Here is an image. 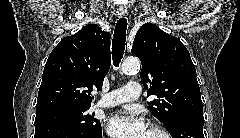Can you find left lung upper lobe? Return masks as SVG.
<instances>
[{
  "label": "left lung upper lobe",
  "mask_w": 240,
  "mask_h": 138,
  "mask_svg": "<svg viewBox=\"0 0 240 138\" xmlns=\"http://www.w3.org/2000/svg\"><path fill=\"white\" fill-rule=\"evenodd\" d=\"M132 53L141 60L148 96L157 97L148 103L150 110L168 130L185 116L203 114L196 69L178 38L147 23L137 31Z\"/></svg>",
  "instance_id": "1"
}]
</instances>
